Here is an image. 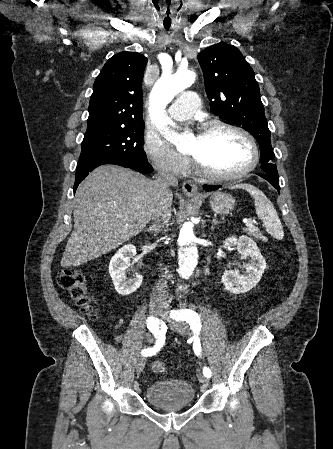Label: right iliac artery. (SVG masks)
<instances>
[{
  "label": "right iliac artery",
  "instance_id": "right-iliac-artery-1",
  "mask_svg": "<svg viewBox=\"0 0 333 449\" xmlns=\"http://www.w3.org/2000/svg\"><path fill=\"white\" fill-rule=\"evenodd\" d=\"M160 324H161V322L159 321L158 318H155V317L148 318L147 327L150 330V332L154 335V337L157 338V341L153 348H147V349L142 350L141 351L142 355L152 356V355L156 354L162 348V346L164 344V340H163V332H162V330H160Z\"/></svg>",
  "mask_w": 333,
  "mask_h": 449
}]
</instances>
